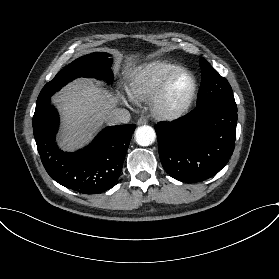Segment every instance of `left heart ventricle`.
<instances>
[{
  "instance_id": "b2bd125f",
  "label": "left heart ventricle",
  "mask_w": 279,
  "mask_h": 279,
  "mask_svg": "<svg viewBox=\"0 0 279 279\" xmlns=\"http://www.w3.org/2000/svg\"><path fill=\"white\" fill-rule=\"evenodd\" d=\"M191 87V78L187 74L180 75L171 86L168 97V104L170 106L180 104L188 96Z\"/></svg>"
}]
</instances>
